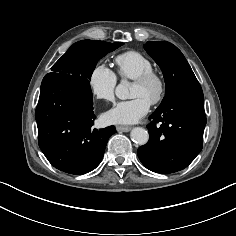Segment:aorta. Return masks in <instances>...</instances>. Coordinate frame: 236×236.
<instances>
[{"label": "aorta", "instance_id": "1", "mask_svg": "<svg viewBox=\"0 0 236 236\" xmlns=\"http://www.w3.org/2000/svg\"><path fill=\"white\" fill-rule=\"evenodd\" d=\"M131 83L127 80H122L115 89L116 96L121 100H126L131 98L130 93ZM131 139L139 144L145 145L149 139V134L147 130L141 127H135L130 133Z\"/></svg>", "mask_w": 236, "mask_h": 236}]
</instances>
